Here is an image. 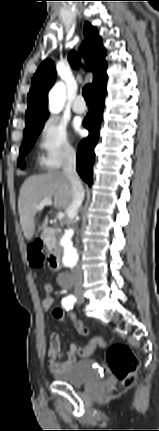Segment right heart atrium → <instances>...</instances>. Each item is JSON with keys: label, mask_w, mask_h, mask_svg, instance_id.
<instances>
[{"label": "right heart atrium", "mask_w": 159, "mask_h": 431, "mask_svg": "<svg viewBox=\"0 0 159 431\" xmlns=\"http://www.w3.org/2000/svg\"><path fill=\"white\" fill-rule=\"evenodd\" d=\"M39 163L47 170L58 169L75 156L65 127L54 118L44 121L38 132Z\"/></svg>", "instance_id": "right-heart-atrium-1"}]
</instances>
